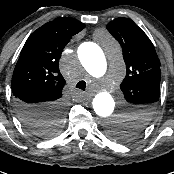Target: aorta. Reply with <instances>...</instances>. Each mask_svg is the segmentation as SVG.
<instances>
[{"mask_svg": "<svg viewBox=\"0 0 174 174\" xmlns=\"http://www.w3.org/2000/svg\"><path fill=\"white\" fill-rule=\"evenodd\" d=\"M105 54L102 49L93 42H84L78 47V58L84 66L85 70L94 78L102 77L106 72V58L112 63L121 59V51L117 44L109 37ZM115 102L112 96L106 92H99L93 100V108L104 128L109 133L118 131L120 125L124 122L122 116L113 114Z\"/></svg>", "mask_w": 174, "mask_h": 174, "instance_id": "762f6f07", "label": "aorta"}]
</instances>
